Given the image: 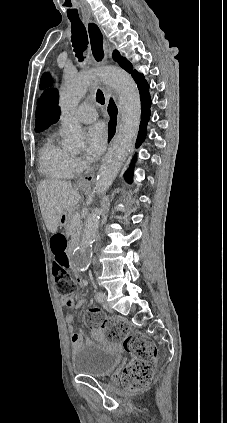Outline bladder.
Instances as JSON below:
<instances>
[{"instance_id": "1", "label": "bladder", "mask_w": 227, "mask_h": 423, "mask_svg": "<svg viewBox=\"0 0 227 423\" xmlns=\"http://www.w3.org/2000/svg\"><path fill=\"white\" fill-rule=\"evenodd\" d=\"M121 362L118 352L101 348L96 343L83 344L72 356V371L77 376L107 379L116 372Z\"/></svg>"}]
</instances>
